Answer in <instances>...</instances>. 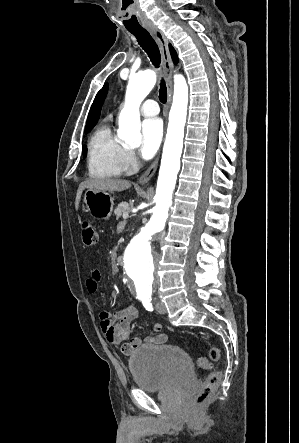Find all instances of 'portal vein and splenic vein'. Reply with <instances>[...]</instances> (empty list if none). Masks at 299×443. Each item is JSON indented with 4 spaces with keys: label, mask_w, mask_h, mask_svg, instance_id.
I'll return each mask as SVG.
<instances>
[{
    "label": "portal vein and splenic vein",
    "mask_w": 299,
    "mask_h": 443,
    "mask_svg": "<svg viewBox=\"0 0 299 443\" xmlns=\"http://www.w3.org/2000/svg\"><path fill=\"white\" fill-rule=\"evenodd\" d=\"M128 217H129V214H128V213H124V214H123V219L126 220V219H128Z\"/></svg>",
    "instance_id": "1"
}]
</instances>
